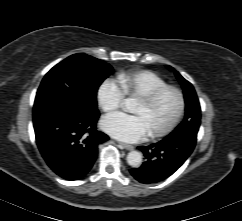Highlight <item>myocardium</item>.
Here are the masks:
<instances>
[{"label": "myocardium", "instance_id": "1", "mask_svg": "<svg viewBox=\"0 0 242 221\" xmlns=\"http://www.w3.org/2000/svg\"><path fill=\"white\" fill-rule=\"evenodd\" d=\"M166 93H173L177 98V109L171 120L164 126L149 131L151 137H161L170 133L181 120L185 110V97L183 92L174 86L166 85L160 87L146 95L139 97V100L146 105H152L157 102Z\"/></svg>", "mask_w": 242, "mask_h": 221}]
</instances>
